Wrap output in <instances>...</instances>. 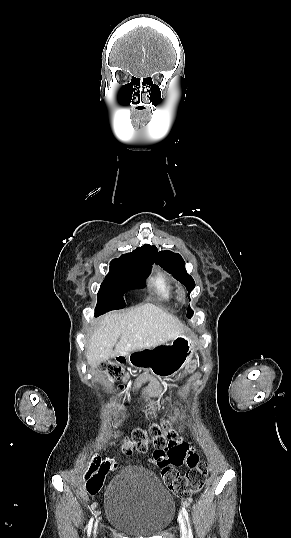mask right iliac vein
I'll return each instance as SVG.
<instances>
[{"label": "right iliac vein", "instance_id": "obj_1", "mask_svg": "<svg viewBox=\"0 0 291 538\" xmlns=\"http://www.w3.org/2000/svg\"><path fill=\"white\" fill-rule=\"evenodd\" d=\"M96 529H97V524L95 525V532H96Z\"/></svg>", "mask_w": 291, "mask_h": 538}]
</instances>
